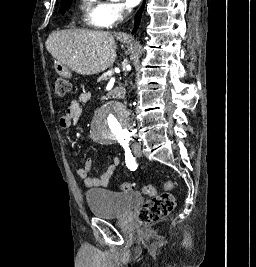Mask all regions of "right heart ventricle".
<instances>
[{
	"label": "right heart ventricle",
	"instance_id": "e07e8e85",
	"mask_svg": "<svg viewBox=\"0 0 256 267\" xmlns=\"http://www.w3.org/2000/svg\"><path fill=\"white\" fill-rule=\"evenodd\" d=\"M97 20H98V10L96 9V10L93 11V15H92V17H91V21H92L95 25H97ZM97 26H98V25H97ZM67 28H72V27H67Z\"/></svg>",
	"mask_w": 256,
	"mask_h": 267
}]
</instances>
